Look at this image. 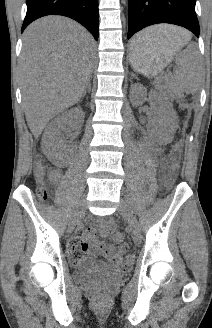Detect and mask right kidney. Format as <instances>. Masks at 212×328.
<instances>
[{
    "label": "right kidney",
    "instance_id": "1",
    "mask_svg": "<svg viewBox=\"0 0 212 328\" xmlns=\"http://www.w3.org/2000/svg\"><path fill=\"white\" fill-rule=\"evenodd\" d=\"M84 119V112L80 107L72 108L65 111L57 118H55L47 127L43 140L46 144V152L53 155L56 151L60 150L62 143L61 129L65 124L71 125L72 128H77Z\"/></svg>",
    "mask_w": 212,
    "mask_h": 328
}]
</instances>
